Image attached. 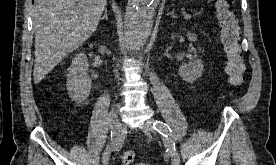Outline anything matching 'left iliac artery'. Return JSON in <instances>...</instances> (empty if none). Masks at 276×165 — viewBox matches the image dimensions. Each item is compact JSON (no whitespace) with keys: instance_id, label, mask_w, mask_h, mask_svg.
<instances>
[{"instance_id":"1","label":"left iliac artery","mask_w":276,"mask_h":165,"mask_svg":"<svg viewBox=\"0 0 276 165\" xmlns=\"http://www.w3.org/2000/svg\"><path fill=\"white\" fill-rule=\"evenodd\" d=\"M153 127L163 136L164 143L167 146V151L171 152L172 150H175V143L172 139V131L169 126H167L162 121H155Z\"/></svg>"}]
</instances>
